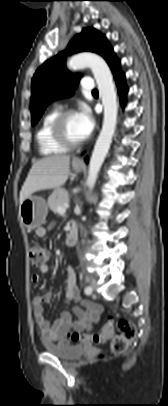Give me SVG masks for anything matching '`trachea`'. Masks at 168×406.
<instances>
[{"label": "trachea", "instance_id": "3493384b", "mask_svg": "<svg viewBox=\"0 0 168 406\" xmlns=\"http://www.w3.org/2000/svg\"><path fill=\"white\" fill-rule=\"evenodd\" d=\"M92 93H98L97 89H94V90L92 91Z\"/></svg>", "mask_w": 168, "mask_h": 406}]
</instances>
